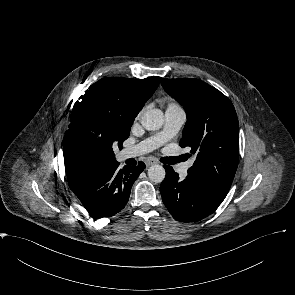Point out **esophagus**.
I'll return each mask as SVG.
<instances>
[{"label":"esophagus","instance_id":"obj_1","mask_svg":"<svg viewBox=\"0 0 295 295\" xmlns=\"http://www.w3.org/2000/svg\"><path fill=\"white\" fill-rule=\"evenodd\" d=\"M145 164L147 167L157 164V160L155 158H147L145 159Z\"/></svg>","mask_w":295,"mask_h":295}]
</instances>
